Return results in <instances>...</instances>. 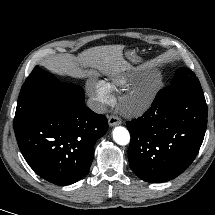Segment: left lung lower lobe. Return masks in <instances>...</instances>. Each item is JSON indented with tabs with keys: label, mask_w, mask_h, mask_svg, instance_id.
<instances>
[{
	"label": "left lung lower lobe",
	"mask_w": 215,
	"mask_h": 215,
	"mask_svg": "<svg viewBox=\"0 0 215 215\" xmlns=\"http://www.w3.org/2000/svg\"><path fill=\"white\" fill-rule=\"evenodd\" d=\"M132 171L152 183L183 173L197 156L207 127L203 91L169 86L158 92L143 116L126 122Z\"/></svg>",
	"instance_id": "obj_1"
}]
</instances>
